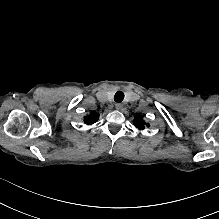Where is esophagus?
Wrapping results in <instances>:
<instances>
[{
    "label": "esophagus",
    "instance_id": "1",
    "mask_svg": "<svg viewBox=\"0 0 219 219\" xmlns=\"http://www.w3.org/2000/svg\"><path fill=\"white\" fill-rule=\"evenodd\" d=\"M115 108H116L117 110H120V109L123 108V104L117 103V104H115Z\"/></svg>",
    "mask_w": 219,
    "mask_h": 219
}]
</instances>
